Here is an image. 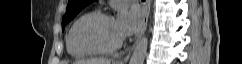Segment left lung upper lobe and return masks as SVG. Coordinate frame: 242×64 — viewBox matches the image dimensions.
Listing matches in <instances>:
<instances>
[{"instance_id":"1","label":"left lung upper lobe","mask_w":242,"mask_h":64,"mask_svg":"<svg viewBox=\"0 0 242 64\" xmlns=\"http://www.w3.org/2000/svg\"><path fill=\"white\" fill-rule=\"evenodd\" d=\"M94 0H68L67 10L63 16L62 30L87 5Z\"/></svg>"}]
</instances>
